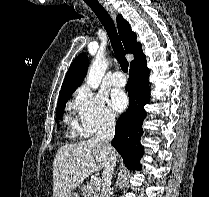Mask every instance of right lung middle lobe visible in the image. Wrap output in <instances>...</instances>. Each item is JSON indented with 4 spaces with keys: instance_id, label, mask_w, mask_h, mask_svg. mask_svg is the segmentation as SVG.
Wrapping results in <instances>:
<instances>
[{
    "instance_id": "1",
    "label": "right lung middle lobe",
    "mask_w": 209,
    "mask_h": 197,
    "mask_svg": "<svg viewBox=\"0 0 209 197\" xmlns=\"http://www.w3.org/2000/svg\"><path fill=\"white\" fill-rule=\"evenodd\" d=\"M74 91L70 92L69 94H67L65 97L61 98L58 100V104H57V110H56V118L58 120H60L62 118L63 112H64V108L66 105V102L69 98V96L73 93Z\"/></svg>"
}]
</instances>
